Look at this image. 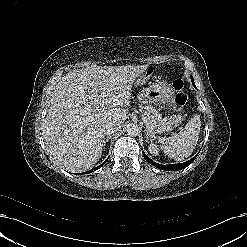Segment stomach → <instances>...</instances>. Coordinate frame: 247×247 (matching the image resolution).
<instances>
[{
    "instance_id": "0dacf381",
    "label": "stomach",
    "mask_w": 247,
    "mask_h": 247,
    "mask_svg": "<svg viewBox=\"0 0 247 247\" xmlns=\"http://www.w3.org/2000/svg\"><path fill=\"white\" fill-rule=\"evenodd\" d=\"M145 82L143 76L136 80L135 85ZM142 100L147 103H163L171 106L174 101V89L164 81L151 83L148 88H145L140 94Z\"/></svg>"
}]
</instances>
